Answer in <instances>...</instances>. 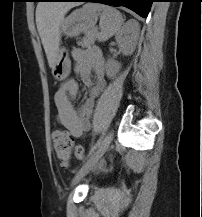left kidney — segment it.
<instances>
[{
    "label": "left kidney",
    "mask_w": 202,
    "mask_h": 217,
    "mask_svg": "<svg viewBox=\"0 0 202 217\" xmlns=\"http://www.w3.org/2000/svg\"><path fill=\"white\" fill-rule=\"evenodd\" d=\"M139 36V24L134 20H129L116 35V41L122 53L125 56L131 55L136 47ZM121 65L108 59L106 63V74L109 78L115 77L119 72Z\"/></svg>",
    "instance_id": "left-kidney-1"
}]
</instances>
